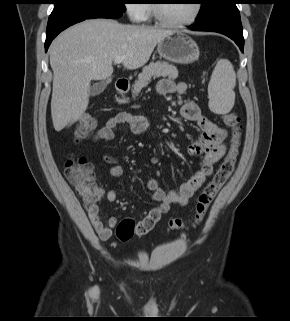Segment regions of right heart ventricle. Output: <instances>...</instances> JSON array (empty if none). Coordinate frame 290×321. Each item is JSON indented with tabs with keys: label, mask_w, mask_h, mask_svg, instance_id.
<instances>
[{
	"label": "right heart ventricle",
	"mask_w": 290,
	"mask_h": 321,
	"mask_svg": "<svg viewBox=\"0 0 290 321\" xmlns=\"http://www.w3.org/2000/svg\"><path fill=\"white\" fill-rule=\"evenodd\" d=\"M144 6H145V10H146L145 19H149L152 14V8L150 5H144Z\"/></svg>",
	"instance_id": "obj_1"
}]
</instances>
